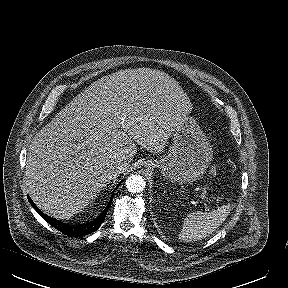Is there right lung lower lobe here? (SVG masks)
Segmentation results:
<instances>
[{
  "label": "right lung lower lobe",
  "instance_id": "1",
  "mask_svg": "<svg viewBox=\"0 0 288 288\" xmlns=\"http://www.w3.org/2000/svg\"><path fill=\"white\" fill-rule=\"evenodd\" d=\"M120 185V183L117 185V187ZM114 195V194H113ZM113 198V196H112ZM109 202L107 207L102 211V213L93 221L88 222L86 224H81V225H69L66 223H62L60 221H57L55 219L50 218L49 216L45 215L42 213L36 205L32 202L31 198L28 196V200L33 206V208L39 213L40 216H42L45 221H47L50 225H52L55 229L61 231L65 235L71 236V237H80L84 236L87 234H90L92 232H95L98 230V228L101 226V224L104 222L105 216L107 214V211L111 205L112 202Z\"/></svg>",
  "mask_w": 288,
  "mask_h": 288
}]
</instances>
